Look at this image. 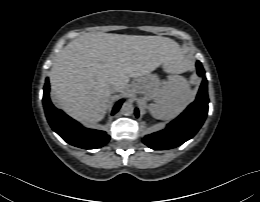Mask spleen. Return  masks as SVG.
I'll list each match as a JSON object with an SVG mask.
<instances>
[{"mask_svg":"<svg viewBox=\"0 0 260 202\" xmlns=\"http://www.w3.org/2000/svg\"><path fill=\"white\" fill-rule=\"evenodd\" d=\"M195 98L188 81L179 75L169 76L149 105L153 117L169 120L180 114Z\"/></svg>","mask_w":260,"mask_h":202,"instance_id":"1","label":"spleen"}]
</instances>
